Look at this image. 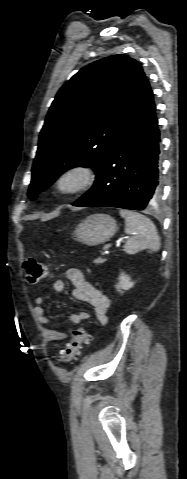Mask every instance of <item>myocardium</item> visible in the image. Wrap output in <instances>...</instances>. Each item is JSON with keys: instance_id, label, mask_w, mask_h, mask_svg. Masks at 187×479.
Listing matches in <instances>:
<instances>
[{"instance_id": "myocardium-1", "label": "myocardium", "mask_w": 187, "mask_h": 479, "mask_svg": "<svg viewBox=\"0 0 187 479\" xmlns=\"http://www.w3.org/2000/svg\"><path fill=\"white\" fill-rule=\"evenodd\" d=\"M91 167L75 164L63 169L52 183L53 192L60 197H70L88 190L94 183Z\"/></svg>"}]
</instances>
